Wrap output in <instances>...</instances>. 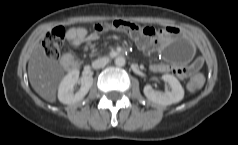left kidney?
<instances>
[{
	"instance_id": "obj_1",
	"label": "left kidney",
	"mask_w": 238,
	"mask_h": 145,
	"mask_svg": "<svg viewBox=\"0 0 238 145\" xmlns=\"http://www.w3.org/2000/svg\"><path fill=\"white\" fill-rule=\"evenodd\" d=\"M162 79L170 85V92H157L152 89L151 85H146L143 89L144 95L160 105H170L181 101L184 97V89L178 79L170 74L162 75Z\"/></svg>"
}]
</instances>
